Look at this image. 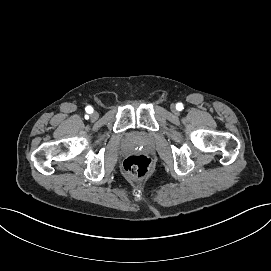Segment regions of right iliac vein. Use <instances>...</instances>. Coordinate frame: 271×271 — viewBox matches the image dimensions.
<instances>
[{"instance_id":"right-iliac-vein-1","label":"right iliac vein","mask_w":271,"mask_h":271,"mask_svg":"<svg viewBox=\"0 0 271 271\" xmlns=\"http://www.w3.org/2000/svg\"><path fill=\"white\" fill-rule=\"evenodd\" d=\"M90 117H91V120L95 121V120L98 119L99 114H98L97 111H93V112L91 113Z\"/></svg>"}]
</instances>
